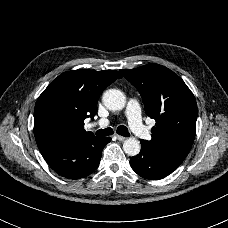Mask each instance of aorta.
<instances>
[{"instance_id": "aorta-1", "label": "aorta", "mask_w": 228, "mask_h": 228, "mask_svg": "<svg viewBox=\"0 0 228 228\" xmlns=\"http://www.w3.org/2000/svg\"><path fill=\"white\" fill-rule=\"evenodd\" d=\"M102 102L107 109L116 111L123 109L126 99L121 90L111 88L103 93ZM123 150L129 156H136L140 152V143L133 138L127 139L124 141Z\"/></svg>"}]
</instances>
